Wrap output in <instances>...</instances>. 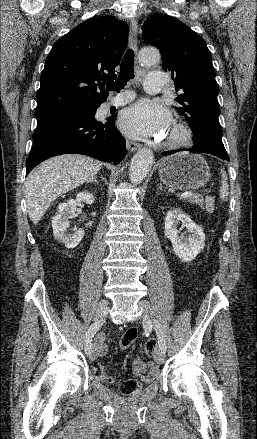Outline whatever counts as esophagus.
Here are the masks:
<instances>
[{"mask_svg": "<svg viewBox=\"0 0 257 439\" xmlns=\"http://www.w3.org/2000/svg\"><path fill=\"white\" fill-rule=\"evenodd\" d=\"M138 24L135 19H131L130 22V33H129V41L131 48L137 52L138 49ZM127 148L129 151L134 152L137 149L141 148V144L137 142L128 141L127 142Z\"/></svg>", "mask_w": 257, "mask_h": 439, "instance_id": "1", "label": "esophagus"}]
</instances>
